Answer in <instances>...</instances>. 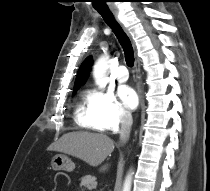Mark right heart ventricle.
Instances as JSON below:
<instances>
[{
    "label": "right heart ventricle",
    "instance_id": "e07e8e85",
    "mask_svg": "<svg viewBox=\"0 0 210 191\" xmlns=\"http://www.w3.org/2000/svg\"><path fill=\"white\" fill-rule=\"evenodd\" d=\"M76 121L84 128L103 131L104 129L96 119L89 103V98L84 97L76 108Z\"/></svg>",
    "mask_w": 210,
    "mask_h": 191
}]
</instances>
